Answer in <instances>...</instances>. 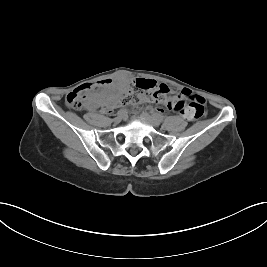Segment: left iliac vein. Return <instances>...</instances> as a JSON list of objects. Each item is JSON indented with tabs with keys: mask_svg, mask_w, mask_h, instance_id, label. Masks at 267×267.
<instances>
[{
	"mask_svg": "<svg viewBox=\"0 0 267 267\" xmlns=\"http://www.w3.org/2000/svg\"><path fill=\"white\" fill-rule=\"evenodd\" d=\"M143 121L153 127H158L160 122L146 112L141 114Z\"/></svg>",
	"mask_w": 267,
	"mask_h": 267,
	"instance_id": "obj_1",
	"label": "left iliac vein"
}]
</instances>
